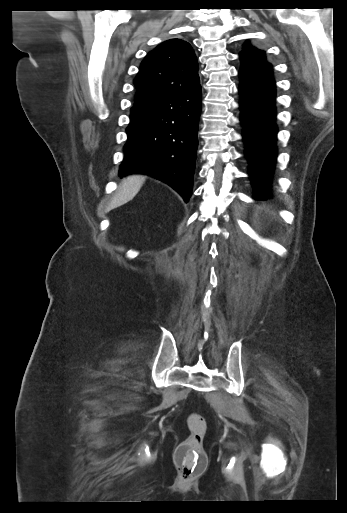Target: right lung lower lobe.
<instances>
[{
    "label": "right lung lower lobe",
    "instance_id": "right-lung-lower-lobe-1",
    "mask_svg": "<svg viewBox=\"0 0 347 513\" xmlns=\"http://www.w3.org/2000/svg\"><path fill=\"white\" fill-rule=\"evenodd\" d=\"M201 87L131 108L121 177L142 173L191 197L201 113Z\"/></svg>",
    "mask_w": 347,
    "mask_h": 513
}]
</instances>
